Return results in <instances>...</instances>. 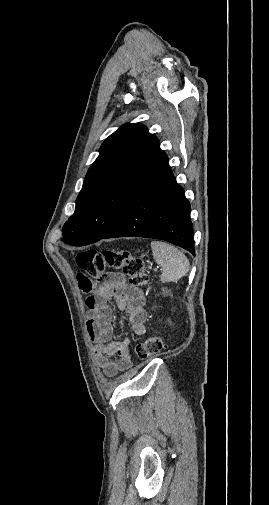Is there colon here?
Wrapping results in <instances>:
<instances>
[{
	"label": "colon",
	"instance_id": "5ec220e1",
	"mask_svg": "<svg viewBox=\"0 0 269 505\" xmlns=\"http://www.w3.org/2000/svg\"><path fill=\"white\" fill-rule=\"evenodd\" d=\"M76 263L81 270L89 274L91 281H101L106 268H112L121 269L128 277L129 283L134 286H142L148 282L144 262L127 251L89 249L76 256ZM163 347L161 337L151 336L136 346L135 353L139 359L145 360L158 354Z\"/></svg>",
	"mask_w": 269,
	"mask_h": 505
}]
</instances>
